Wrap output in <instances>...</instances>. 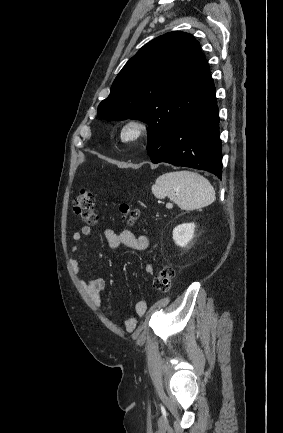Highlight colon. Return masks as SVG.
<instances>
[{
  "instance_id": "colon-1",
  "label": "colon",
  "mask_w": 283,
  "mask_h": 433,
  "mask_svg": "<svg viewBox=\"0 0 283 433\" xmlns=\"http://www.w3.org/2000/svg\"><path fill=\"white\" fill-rule=\"evenodd\" d=\"M73 210L84 222L94 224L97 220V216L95 199L92 192L89 190H81L73 201ZM119 211L122 219L129 225H133L139 221V211L132 208L129 204H120ZM174 276L175 270L171 266L163 267L154 278V287L161 292H166L171 287Z\"/></svg>"
}]
</instances>
